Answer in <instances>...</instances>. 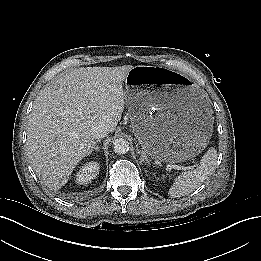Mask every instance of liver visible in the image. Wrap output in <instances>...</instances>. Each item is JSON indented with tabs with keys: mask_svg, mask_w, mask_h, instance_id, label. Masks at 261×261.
Segmentation results:
<instances>
[{
	"mask_svg": "<svg viewBox=\"0 0 261 261\" xmlns=\"http://www.w3.org/2000/svg\"><path fill=\"white\" fill-rule=\"evenodd\" d=\"M132 65L81 67L46 84L27 126V150L42 181L60 189L94 145L92 129L113 132L125 107V81Z\"/></svg>",
	"mask_w": 261,
	"mask_h": 261,
	"instance_id": "1",
	"label": "liver"
}]
</instances>
